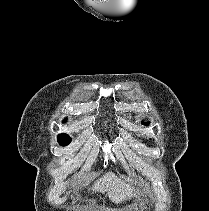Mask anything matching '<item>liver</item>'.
Here are the masks:
<instances>
[{
	"mask_svg": "<svg viewBox=\"0 0 209 211\" xmlns=\"http://www.w3.org/2000/svg\"><path fill=\"white\" fill-rule=\"evenodd\" d=\"M92 190L100 191L102 193L107 192L109 199L116 204L130 200L132 197H137V194L139 195V191H136L135 193L133 187L126 184V182L111 172L95 182Z\"/></svg>",
	"mask_w": 209,
	"mask_h": 211,
	"instance_id": "liver-1",
	"label": "liver"
}]
</instances>
